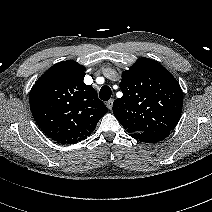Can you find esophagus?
Returning <instances> with one entry per match:
<instances>
[{"label": "esophagus", "mask_w": 212, "mask_h": 212, "mask_svg": "<svg viewBox=\"0 0 212 212\" xmlns=\"http://www.w3.org/2000/svg\"><path fill=\"white\" fill-rule=\"evenodd\" d=\"M106 105H107V108H108L109 110H111L112 107H113V100L110 99L109 101H107Z\"/></svg>", "instance_id": "esophagus-1"}]
</instances>
